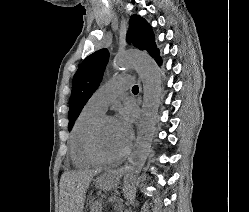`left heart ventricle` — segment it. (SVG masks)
I'll use <instances>...</instances> for the list:
<instances>
[{"mask_svg": "<svg viewBox=\"0 0 249 212\" xmlns=\"http://www.w3.org/2000/svg\"><path fill=\"white\" fill-rule=\"evenodd\" d=\"M97 144L99 151L106 157H115L124 152L122 142L116 133L115 121L112 118L105 119L101 124Z\"/></svg>", "mask_w": 249, "mask_h": 212, "instance_id": "1", "label": "left heart ventricle"}]
</instances>
